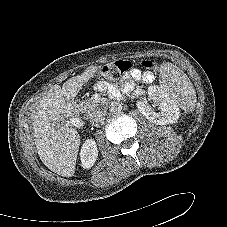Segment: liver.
I'll list each match as a JSON object with an SVG mask.
<instances>
[{
  "instance_id": "obj_1",
  "label": "liver",
  "mask_w": 227,
  "mask_h": 227,
  "mask_svg": "<svg viewBox=\"0 0 227 227\" xmlns=\"http://www.w3.org/2000/svg\"><path fill=\"white\" fill-rule=\"evenodd\" d=\"M101 66H89L81 75L54 85L39 101L33 114L32 126L35 146L43 164L58 175L71 177L75 172L80 146L78 132L69 126L59 125L68 103L90 80Z\"/></svg>"
}]
</instances>
